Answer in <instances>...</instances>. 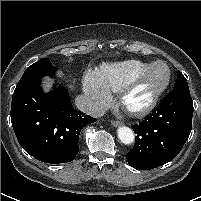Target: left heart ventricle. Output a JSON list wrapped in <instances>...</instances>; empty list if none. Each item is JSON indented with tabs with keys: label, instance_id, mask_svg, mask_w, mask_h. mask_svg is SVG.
Instances as JSON below:
<instances>
[{
	"label": "left heart ventricle",
	"instance_id": "1",
	"mask_svg": "<svg viewBox=\"0 0 201 201\" xmlns=\"http://www.w3.org/2000/svg\"><path fill=\"white\" fill-rule=\"evenodd\" d=\"M167 78V69L164 65L158 64L146 75L139 83L129 97L132 105H139L147 101V99L160 88Z\"/></svg>",
	"mask_w": 201,
	"mask_h": 201
}]
</instances>
